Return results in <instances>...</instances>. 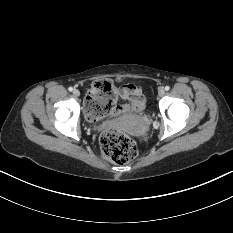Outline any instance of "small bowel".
Wrapping results in <instances>:
<instances>
[{
    "mask_svg": "<svg viewBox=\"0 0 233 233\" xmlns=\"http://www.w3.org/2000/svg\"><path fill=\"white\" fill-rule=\"evenodd\" d=\"M115 90L117 98L128 101L126 104L117 105L114 111L115 113L123 114L131 111H141L144 109L145 100L143 98L140 86L136 83L130 82Z\"/></svg>",
    "mask_w": 233,
    "mask_h": 233,
    "instance_id": "c3829d8e",
    "label": "small bowel"
}]
</instances>
